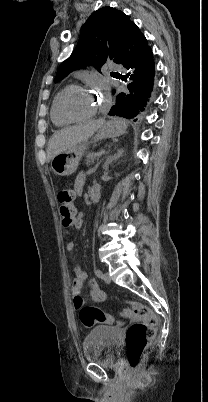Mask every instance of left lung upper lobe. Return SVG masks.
Returning a JSON list of instances; mask_svg holds the SVG:
<instances>
[{
    "label": "left lung upper lobe",
    "mask_w": 208,
    "mask_h": 402,
    "mask_svg": "<svg viewBox=\"0 0 208 402\" xmlns=\"http://www.w3.org/2000/svg\"><path fill=\"white\" fill-rule=\"evenodd\" d=\"M132 24L127 15L115 8L95 11L82 26L77 47L59 67L55 82L88 63L100 72L107 60L116 62Z\"/></svg>",
    "instance_id": "obj_1"
}]
</instances>
